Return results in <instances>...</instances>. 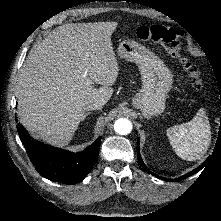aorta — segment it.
Instances as JSON below:
<instances>
[{
  "label": "aorta",
  "mask_w": 221,
  "mask_h": 221,
  "mask_svg": "<svg viewBox=\"0 0 221 221\" xmlns=\"http://www.w3.org/2000/svg\"><path fill=\"white\" fill-rule=\"evenodd\" d=\"M114 130L119 135H127L132 131V123L126 118H120L115 121Z\"/></svg>",
  "instance_id": "obj_1"
}]
</instances>
